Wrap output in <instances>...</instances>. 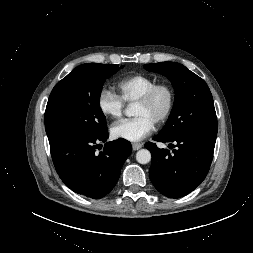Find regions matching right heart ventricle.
<instances>
[{
	"instance_id": "right-heart-ventricle-1",
	"label": "right heart ventricle",
	"mask_w": 253,
	"mask_h": 253,
	"mask_svg": "<svg viewBox=\"0 0 253 253\" xmlns=\"http://www.w3.org/2000/svg\"><path fill=\"white\" fill-rule=\"evenodd\" d=\"M157 82L153 76L135 74L121 79L117 83V90L124 103H133Z\"/></svg>"
}]
</instances>
